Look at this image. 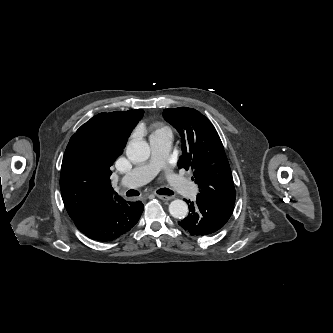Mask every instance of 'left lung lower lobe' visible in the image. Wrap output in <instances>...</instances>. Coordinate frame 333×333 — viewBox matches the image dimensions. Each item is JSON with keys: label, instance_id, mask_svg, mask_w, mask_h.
Instances as JSON below:
<instances>
[{"label": "left lung lower lobe", "instance_id": "obj_1", "mask_svg": "<svg viewBox=\"0 0 333 333\" xmlns=\"http://www.w3.org/2000/svg\"><path fill=\"white\" fill-rule=\"evenodd\" d=\"M189 203L190 214L178 224L192 236H204L221 229L230 218L234 204L214 202L197 195L195 202Z\"/></svg>", "mask_w": 333, "mask_h": 333}]
</instances>
